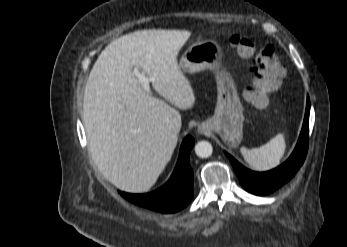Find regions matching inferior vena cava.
I'll return each mask as SVG.
<instances>
[{
  "mask_svg": "<svg viewBox=\"0 0 347 247\" xmlns=\"http://www.w3.org/2000/svg\"><path fill=\"white\" fill-rule=\"evenodd\" d=\"M177 133L179 132V129H177V131H176Z\"/></svg>",
  "mask_w": 347,
  "mask_h": 247,
  "instance_id": "602c4592",
  "label": "inferior vena cava"
}]
</instances>
